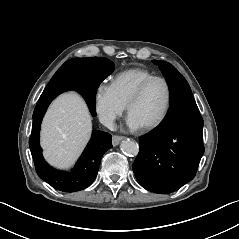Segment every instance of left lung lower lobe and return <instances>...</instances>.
<instances>
[{"mask_svg": "<svg viewBox=\"0 0 239 239\" xmlns=\"http://www.w3.org/2000/svg\"><path fill=\"white\" fill-rule=\"evenodd\" d=\"M202 137L203 119L192 94L175 99L160 126L139 138L132 165L138 183L168 194L191 181L204 153Z\"/></svg>", "mask_w": 239, "mask_h": 239, "instance_id": "0a47b994", "label": "left lung lower lobe"}]
</instances>
